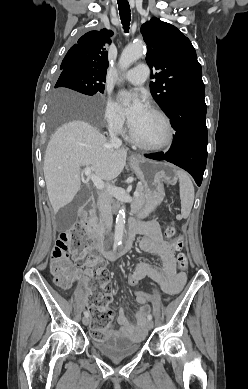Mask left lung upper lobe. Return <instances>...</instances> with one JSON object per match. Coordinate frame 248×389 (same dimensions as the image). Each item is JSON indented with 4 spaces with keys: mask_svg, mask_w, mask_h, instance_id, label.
Instances as JSON below:
<instances>
[{
    "mask_svg": "<svg viewBox=\"0 0 248 389\" xmlns=\"http://www.w3.org/2000/svg\"><path fill=\"white\" fill-rule=\"evenodd\" d=\"M141 33L147 44L146 62L152 71L159 70L151 77L155 78L151 94L165 113L181 97L204 91L195 49L178 28L153 17L142 25Z\"/></svg>",
    "mask_w": 248,
    "mask_h": 389,
    "instance_id": "1",
    "label": "left lung upper lobe"
}]
</instances>
